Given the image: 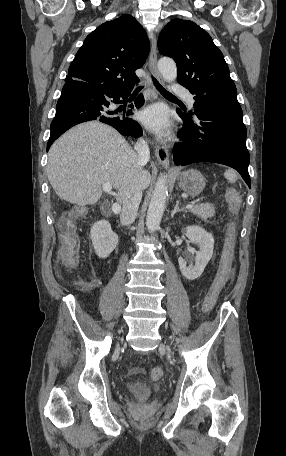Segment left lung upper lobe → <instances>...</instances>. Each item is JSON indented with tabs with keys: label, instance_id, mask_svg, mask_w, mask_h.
<instances>
[{
	"label": "left lung upper lobe",
	"instance_id": "obj_1",
	"mask_svg": "<svg viewBox=\"0 0 286 456\" xmlns=\"http://www.w3.org/2000/svg\"><path fill=\"white\" fill-rule=\"evenodd\" d=\"M158 49L177 64V81L194 95V108L209 106L243 115L222 52L189 20L174 19L161 31Z\"/></svg>",
	"mask_w": 286,
	"mask_h": 456
}]
</instances>
